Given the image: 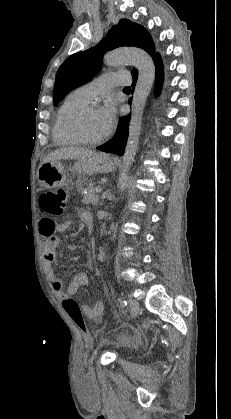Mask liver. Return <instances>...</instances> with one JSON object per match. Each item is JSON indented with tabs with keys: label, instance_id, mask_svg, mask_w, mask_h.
I'll use <instances>...</instances> for the list:
<instances>
[{
	"label": "liver",
	"instance_id": "1",
	"mask_svg": "<svg viewBox=\"0 0 231 419\" xmlns=\"http://www.w3.org/2000/svg\"><path fill=\"white\" fill-rule=\"evenodd\" d=\"M95 154L94 151L83 149V148H75V147H67V148H60L48 154L42 161L41 164L45 162H50L53 160H60V159H83Z\"/></svg>",
	"mask_w": 231,
	"mask_h": 419
}]
</instances>
